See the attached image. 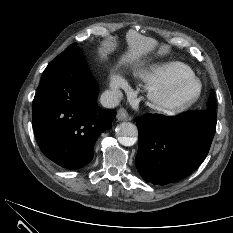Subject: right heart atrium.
<instances>
[{"label": "right heart atrium", "instance_id": "right-heart-atrium-1", "mask_svg": "<svg viewBox=\"0 0 233 233\" xmlns=\"http://www.w3.org/2000/svg\"><path fill=\"white\" fill-rule=\"evenodd\" d=\"M110 87L114 92H119L121 89H127L128 83L126 80L120 75H113L110 78Z\"/></svg>", "mask_w": 233, "mask_h": 233}]
</instances>
